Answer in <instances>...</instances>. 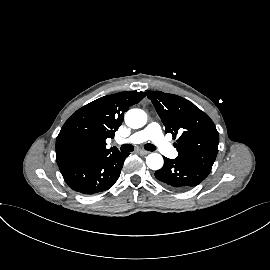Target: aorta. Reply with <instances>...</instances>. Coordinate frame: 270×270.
Segmentation results:
<instances>
[{
    "label": "aorta",
    "instance_id": "obj_1",
    "mask_svg": "<svg viewBox=\"0 0 270 270\" xmlns=\"http://www.w3.org/2000/svg\"><path fill=\"white\" fill-rule=\"evenodd\" d=\"M147 122V114L141 109H130L125 114V123L128 127L138 129ZM147 166L152 170H158L163 166V157L158 153H151L146 158Z\"/></svg>",
    "mask_w": 270,
    "mask_h": 270
}]
</instances>
